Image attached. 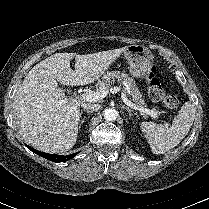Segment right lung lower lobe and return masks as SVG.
Masks as SVG:
<instances>
[{
  "label": "right lung lower lobe",
  "instance_id": "right-lung-lower-lobe-1",
  "mask_svg": "<svg viewBox=\"0 0 209 209\" xmlns=\"http://www.w3.org/2000/svg\"><path fill=\"white\" fill-rule=\"evenodd\" d=\"M32 152L50 160V161H53V162H65L73 157H75L78 152L76 153H73V154H70V155H55V154H48V153H43V152H40L38 150H35L34 148H31L30 146H27Z\"/></svg>",
  "mask_w": 209,
  "mask_h": 209
}]
</instances>
